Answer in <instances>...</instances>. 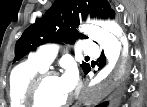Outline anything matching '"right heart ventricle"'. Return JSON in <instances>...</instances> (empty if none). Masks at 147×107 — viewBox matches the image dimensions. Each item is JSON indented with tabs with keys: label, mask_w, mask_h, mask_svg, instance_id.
<instances>
[{
	"label": "right heart ventricle",
	"mask_w": 147,
	"mask_h": 107,
	"mask_svg": "<svg viewBox=\"0 0 147 107\" xmlns=\"http://www.w3.org/2000/svg\"><path fill=\"white\" fill-rule=\"evenodd\" d=\"M46 67L32 59L17 65L11 72L9 80V99L12 107H28L26 93L33 78Z\"/></svg>",
	"instance_id": "right-heart-ventricle-1"
}]
</instances>
